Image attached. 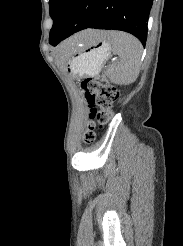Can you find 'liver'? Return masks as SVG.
Here are the masks:
<instances>
[{
  "instance_id": "6515ba94",
  "label": "liver",
  "mask_w": 183,
  "mask_h": 246,
  "mask_svg": "<svg viewBox=\"0 0 183 246\" xmlns=\"http://www.w3.org/2000/svg\"><path fill=\"white\" fill-rule=\"evenodd\" d=\"M106 32L104 31H96V30H85L74 37H72L69 41H67L64 45V48L69 51H75L79 46L86 45L92 43L102 37H104Z\"/></svg>"
}]
</instances>
